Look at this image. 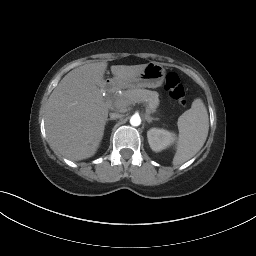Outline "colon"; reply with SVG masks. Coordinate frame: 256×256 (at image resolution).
I'll return each mask as SVG.
<instances>
[{"label": "colon", "instance_id": "5ec220e1", "mask_svg": "<svg viewBox=\"0 0 256 256\" xmlns=\"http://www.w3.org/2000/svg\"><path fill=\"white\" fill-rule=\"evenodd\" d=\"M165 88L172 99L181 105H185V89L180 81L179 76L175 72H169L166 74Z\"/></svg>", "mask_w": 256, "mask_h": 256}]
</instances>
